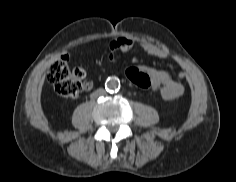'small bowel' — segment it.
<instances>
[{"label":"small bowel","instance_id":"obj_1","mask_svg":"<svg viewBox=\"0 0 236 182\" xmlns=\"http://www.w3.org/2000/svg\"><path fill=\"white\" fill-rule=\"evenodd\" d=\"M134 47V41L127 37H118L114 39L110 45V59L114 58L116 52H128ZM142 49L149 55L156 56L161 59L168 57V51L150 41H143L141 43ZM70 57L68 52L62 55L63 60H68ZM146 71L151 78V88L153 90H160L161 96L165 100H174L183 95L185 87L183 85L184 73H179L176 79H173L168 72L158 70L153 67L140 66ZM93 87L91 80L83 82V88L90 90Z\"/></svg>","mask_w":236,"mask_h":182}]
</instances>
